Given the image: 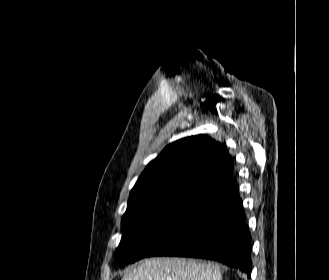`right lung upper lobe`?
<instances>
[{
	"mask_svg": "<svg viewBox=\"0 0 329 280\" xmlns=\"http://www.w3.org/2000/svg\"><path fill=\"white\" fill-rule=\"evenodd\" d=\"M232 176V159L225 145L206 135L183 138L166 146L147 165L130 192L128 207L133 210L180 195L206 199Z\"/></svg>",
	"mask_w": 329,
	"mask_h": 280,
	"instance_id": "right-lung-upper-lobe-1",
	"label": "right lung upper lobe"
}]
</instances>
